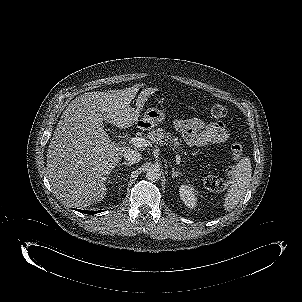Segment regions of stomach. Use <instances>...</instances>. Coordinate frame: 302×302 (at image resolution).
Masks as SVG:
<instances>
[{
  "label": "stomach",
  "instance_id": "obj_1",
  "mask_svg": "<svg viewBox=\"0 0 302 302\" xmlns=\"http://www.w3.org/2000/svg\"><path fill=\"white\" fill-rule=\"evenodd\" d=\"M165 113L158 108H149L145 111L143 117L139 119L138 125L144 130H150L163 122Z\"/></svg>",
  "mask_w": 302,
  "mask_h": 302
}]
</instances>
